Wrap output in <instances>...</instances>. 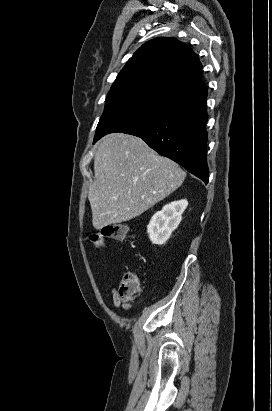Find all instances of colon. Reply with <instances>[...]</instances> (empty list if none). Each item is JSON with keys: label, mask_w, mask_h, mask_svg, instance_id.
I'll return each instance as SVG.
<instances>
[{"label": "colon", "mask_w": 272, "mask_h": 411, "mask_svg": "<svg viewBox=\"0 0 272 411\" xmlns=\"http://www.w3.org/2000/svg\"><path fill=\"white\" fill-rule=\"evenodd\" d=\"M127 232L128 227L123 223L108 224L102 227L99 232L91 234L89 239L94 245L103 248L105 246L104 238L122 240L126 237ZM140 291L141 286L137 273L134 271L125 272L117 289L119 299L128 306L139 296Z\"/></svg>", "instance_id": "5ec220e1"}]
</instances>
